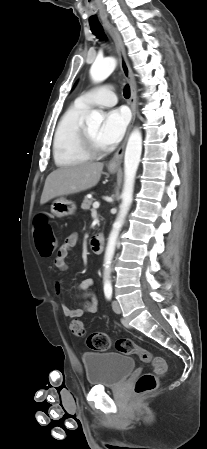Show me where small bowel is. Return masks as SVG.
I'll use <instances>...</instances> for the list:
<instances>
[{
	"mask_svg": "<svg viewBox=\"0 0 207 449\" xmlns=\"http://www.w3.org/2000/svg\"><path fill=\"white\" fill-rule=\"evenodd\" d=\"M78 242L77 234L73 233L67 236V238L60 245L55 258V266L59 270L68 269V256L72 249L76 246ZM94 285V281L91 278H86L76 285V288L83 292L80 295L81 298L85 299V302L81 308L73 309L68 304L62 305V311L64 315L69 317H80L83 314H95L98 311V299L94 292L89 289ZM63 287L60 282L55 283V290L57 293L62 291Z\"/></svg>",
	"mask_w": 207,
	"mask_h": 449,
	"instance_id": "1",
	"label": "small bowel"
}]
</instances>
